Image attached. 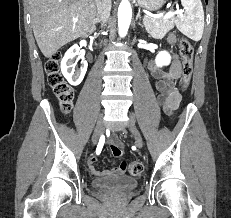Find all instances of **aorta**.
Returning a JSON list of instances; mask_svg holds the SVG:
<instances>
[{"label":"aorta","mask_w":231,"mask_h":218,"mask_svg":"<svg viewBox=\"0 0 231 218\" xmlns=\"http://www.w3.org/2000/svg\"><path fill=\"white\" fill-rule=\"evenodd\" d=\"M132 17V10L128 0H122L118 8V29L120 37L126 36Z\"/></svg>","instance_id":"aorta-1"}]
</instances>
